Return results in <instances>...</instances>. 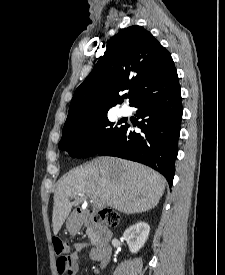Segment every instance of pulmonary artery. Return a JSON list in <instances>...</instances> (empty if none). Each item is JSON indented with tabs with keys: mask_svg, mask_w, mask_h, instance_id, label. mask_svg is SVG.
Instances as JSON below:
<instances>
[{
	"mask_svg": "<svg viewBox=\"0 0 225 275\" xmlns=\"http://www.w3.org/2000/svg\"><path fill=\"white\" fill-rule=\"evenodd\" d=\"M129 109L127 108V107H122V108H120V110H119V113H120V115H122V116H126V115H128L129 114Z\"/></svg>",
	"mask_w": 225,
	"mask_h": 275,
	"instance_id": "pulmonary-artery-1",
	"label": "pulmonary artery"
}]
</instances>
